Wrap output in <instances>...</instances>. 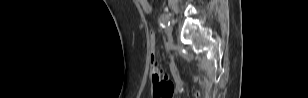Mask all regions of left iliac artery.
<instances>
[{
	"mask_svg": "<svg viewBox=\"0 0 308 98\" xmlns=\"http://www.w3.org/2000/svg\"><path fill=\"white\" fill-rule=\"evenodd\" d=\"M159 23L162 27H166L170 25V18L168 14L163 13L160 16Z\"/></svg>",
	"mask_w": 308,
	"mask_h": 98,
	"instance_id": "left-iliac-artery-1",
	"label": "left iliac artery"
}]
</instances>
